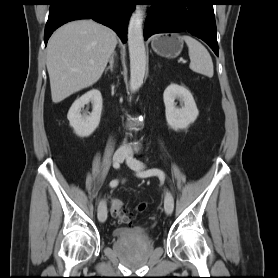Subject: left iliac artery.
Listing matches in <instances>:
<instances>
[{
    "instance_id": "1",
    "label": "left iliac artery",
    "mask_w": 278,
    "mask_h": 278,
    "mask_svg": "<svg viewBox=\"0 0 278 278\" xmlns=\"http://www.w3.org/2000/svg\"><path fill=\"white\" fill-rule=\"evenodd\" d=\"M137 175L140 176V177H147V176H152V175H156L160 178L165 177L164 171H162L160 169H157V168H153V169H149L147 171L139 172Z\"/></svg>"
}]
</instances>
